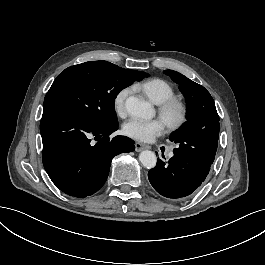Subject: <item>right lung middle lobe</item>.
<instances>
[{
  "label": "right lung middle lobe",
  "instance_id": "obj_1",
  "mask_svg": "<svg viewBox=\"0 0 265 265\" xmlns=\"http://www.w3.org/2000/svg\"><path fill=\"white\" fill-rule=\"evenodd\" d=\"M148 74L106 61H90L65 69L44 99L43 111H58L95 128L118 125L114 102L118 93Z\"/></svg>",
  "mask_w": 265,
  "mask_h": 265
}]
</instances>
